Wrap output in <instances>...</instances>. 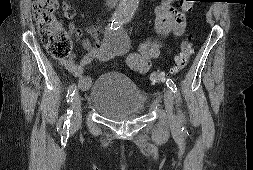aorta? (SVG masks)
<instances>
[{
  "mask_svg": "<svg viewBox=\"0 0 253 170\" xmlns=\"http://www.w3.org/2000/svg\"><path fill=\"white\" fill-rule=\"evenodd\" d=\"M139 0H120L117 15L120 18L130 17L138 7Z\"/></svg>",
  "mask_w": 253,
  "mask_h": 170,
  "instance_id": "obj_1",
  "label": "aorta"
}]
</instances>
